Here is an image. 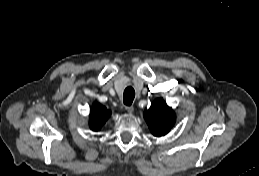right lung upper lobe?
<instances>
[{"label":"right lung upper lobe","mask_w":259,"mask_h":176,"mask_svg":"<svg viewBox=\"0 0 259 176\" xmlns=\"http://www.w3.org/2000/svg\"><path fill=\"white\" fill-rule=\"evenodd\" d=\"M110 114L111 112L106 107L95 103L90 111V128L94 131L100 130Z\"/></svg>","instance_id":"right-lung-upper-lobe-1"}]
</instances>
